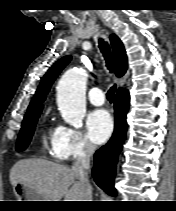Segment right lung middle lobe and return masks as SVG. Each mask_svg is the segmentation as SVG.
<instances>
[{
    "label": "right lung middle lobe",
    "mask_w": 176,
    "mask_h": 211,
    "mask_svg": "<svg viewBox=\"0 0 176 211\" xmlns=\"http://www.w3.org/2000/svg\"><path fill=\"white\" fill-rule=\"evenodd\" d=\"M39 115L40 112L24 117L22 128L17 139V151H23L29 145Z\"/></svg>",
    "instance_id": "obj_1"
}]
</instances>
